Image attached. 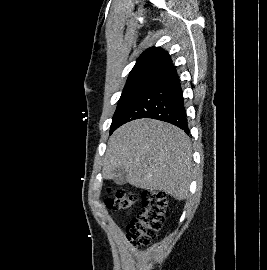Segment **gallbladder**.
Segmentation results:
<instances>
[{"instance_id": "obj_1", "label": "gallbladder", "mask_w": 267, "mask_h": 270, "mask_svg": "<svg viewBox=\"0 0 267 270\" xmlns=\"http://www.w3.org/2000/svg\"><path fill=\"white\" fill-rule=\"evenodd\" d=\"M126 175L127 172L119 168L114 171V177L112 179L116 184L124 185L126 184Z\"/></svg>"}]
</instances>
